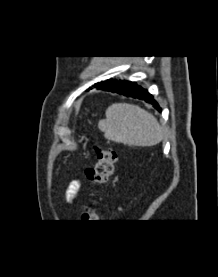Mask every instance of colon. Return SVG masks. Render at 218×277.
I'll list each match as a JSON object with an SVG mask.
<instances>
[{"label":"colon","mask_w":218,"mask_h":277,"mask_svg":"<svg viewBox=\"0 0 218 277\" xmlns=\"http://www.w3.org/2000/svg\"><path fill=\"white\" fill-rule=\"evenodd\" d=\"M94 151L96 161L93 166L86 169L85 175L91 186L102 188L108 183L113 173L114 165L117 161V153L101 145H95ZM96 218V208L92 205H86L82 214V220L84 222H92Z\"/></svg>","instance_id":"obj_1"}]
</instances>
